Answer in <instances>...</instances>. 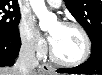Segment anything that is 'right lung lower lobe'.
<instances>
[{
    "instance_id": "98d812e1",
    "label": "right lung lower lobe",
    "mask_w": 102,
    "mask_h": 75,
    "mask_svg": "<svg viewBox=\"0 0 102 75\" xmlns=\"http://www.w3.org/2000/svg\"><path fill=\"white\" fill-rule=\"evenodd\" d=\"M21 40L19 33L14 36L0 34V67L12 66L19 54Z\"/></svg>"
}]
</instances>
